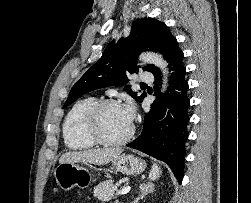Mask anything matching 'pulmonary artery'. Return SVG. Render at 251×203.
Returning a JSON list of instances; mask_svg holds the SVG:
<instances>
[{"label":"pulmonary artery","instance_id":"e3ab8cb5","mask_svg":"<svg viewBox=\"0 0 251 203\" xmlns=\"http://www.w3.org/2000/svg\"><path fill=\"white\" fill-rule=\"evenodd\" d=\"M154 80V75L149 72L141 73L139 75V81L142 83H151Z\"/></svg>","mask_w":251,"mask_h":203}]
</instances>
